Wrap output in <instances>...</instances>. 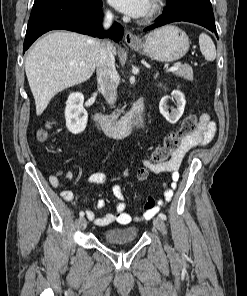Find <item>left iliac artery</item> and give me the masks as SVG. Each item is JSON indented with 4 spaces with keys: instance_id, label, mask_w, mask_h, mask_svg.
Masks as SVG:
<instances>
[{
    "instance_id": "1",
    "label": "left iliac artery",
    "mask_w": 247,
    "mask_h": 296,
    "mask_svg": "<svg viewBox=\"0 0 247 296\" xmlns=\"http://www.w3.org/2000/svg\"><path fill=\"white\" fill-rule=\"evenodd\" d=\"M158 217L161 218L162 220H166V215L163 214V213H160V214L158 215Z\"/></svg>"
}]
</instances>
